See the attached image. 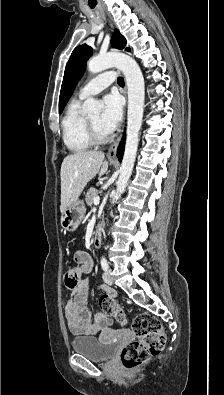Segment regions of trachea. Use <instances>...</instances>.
<instances>
[{
    "label": "trachea",
    "mask_w": 224,
    "mask_h": 395,
    "mask_svg": "<svg viewBox=\"0 0 224 395\" xmlns=\"http://www.w3.org/2000/svg\"><path fill=\"white\" fill-rule=\"evenodd\" d=\"M117 83H118L120 86H123V85H124V78H123V77H118Z\"/></svg>",
    "instance_id": "1"
}]
</instances>
